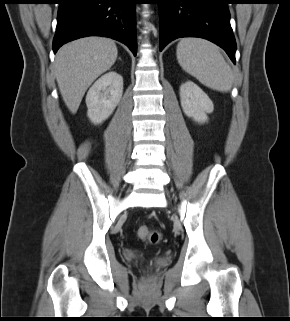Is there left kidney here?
<instances>
[{
	"label": "left kidney",
	"mask_w": 290,
	"mask_h": 321,
	"mask_svg": "<svg viewBox=\"0 0 290 321\" xmlns=\"http://www.w3.org/2000/svg\"><path fill=\"white\" fill-rule=\"evenodd\" d=\"M180 101L185 115L201 124L208 120L207 113H212L214 110L208 95L192 81L180 86Z\"/></svg>",
	"instance_id": "5707ae66"
}]
</instances>
